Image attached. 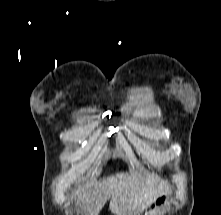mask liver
<instances>
[{
  "mask_svg": "<svg viewBox=\"0 0 221 215\" xmlns=\"http://www.w3.org/2000/svg\"><path fill=\"white\" fill-rule=\"evenodd\" d=\"M92 187V190L87 189ZM166 183L147 178L138 179L133 174L117 173L106 179L87 183L72 198L87 205L90 215H98L110 199L109 208L116 215H132L141 212L160 193L168 192Z\"/></svg>",
  "mask_w": 221,
  "mask_h": 215,
  "instance_id": "6515ba94",
  "label": "liver"
}]
</instances>
